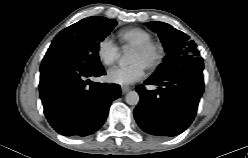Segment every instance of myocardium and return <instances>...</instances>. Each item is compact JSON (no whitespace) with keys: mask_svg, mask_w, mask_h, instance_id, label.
<instances>
[{"mask_svg":"<svg viewBox=\"0 0 248 158\" xmlns=\"http://www.w3.org/2000/svg\"><path fill=\"white\" fill-rule=\"evenodd\" d=\"M134 50L149 54L151 56V60L146 67L149 71L157 69L164 58L163 46L160 43L154 42L152 40L135 46Z\"/></svg>","mask_w":248,"mask_h":158,"instance_id":"obj_1","label":"myocardium"}]
</instances>
